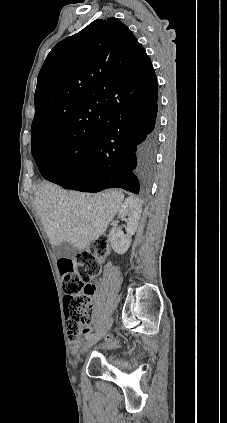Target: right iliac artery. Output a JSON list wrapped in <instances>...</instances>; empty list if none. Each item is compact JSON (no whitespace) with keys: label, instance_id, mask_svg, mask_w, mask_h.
<instances>
[{"label":"right iliac artery","instance_id":"82829eb1","mask_svg":"<svg viewBox=\"0 0 227 423\" xmlns=\"http://www.w3.org/2000/svg\"><path fill=\"white\" fill-rule=\"evenodd\" d=\"M93 336H94V334L88 333V334L85 335V338L88 340V339H91Z\"/></svg>","mask_w":227,"mask_h":423}]
</instances>
